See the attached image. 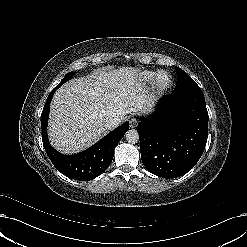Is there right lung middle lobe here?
Here are the masks:
<instances>
[{"instance_id": "right-lung-middle-lobe-1", "label": "right lung middle lobe", "mask_w": 247, "mask_h": 247, "mask_svg": "<svg viewBox=\"0 0 247 247\" xmlns=\"http://www.w3.org/2000/svg\"><path fill=\"white\" fill-rule=\"evenodd\" d=\"M72 77H73V73L72 72L68 73L56 87H60L66 81L70 80Z\"/></svg>"}]
</instances>
